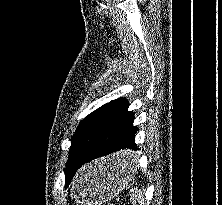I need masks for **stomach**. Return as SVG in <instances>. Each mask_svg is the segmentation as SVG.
<instances>
[{
	"label": "stomach",
	"mask_w": 222,
	"mask_h": 205,
	"mask_svg": "<svg viewBox=\"0 0 222 205\" xmlns=\"http://www.w3.org/2000/svg\"><path fill=\"white\" fill-rule=\"evenodd\" d=\"M136 164H116L113 156L84 167L71 189L76 205H101L116 197L130 182Z\"/></svg>",
	"instance_id": "1"
}]
</instances>
